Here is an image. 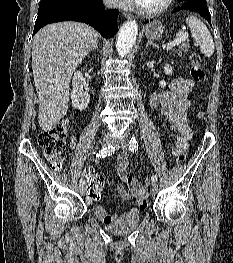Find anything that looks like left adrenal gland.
<instances>
[{"label": "left adrenal gland", "mask_w": 233, "mask_h": 263, "mask_svg": "<svg viewBox=\"0 0 233 263\" xmlns=\"http://www.w3.org/2000/svg\"><path fill=\"white\" fill-rule=\"evenodd\" d=\"M149 45H153L154 47H158V45L156 43H154L153 41L149 40L146 44V47H148Z\"/></svg>", "instance_id": "left-adrenal-gland-1"}]
</instances>
